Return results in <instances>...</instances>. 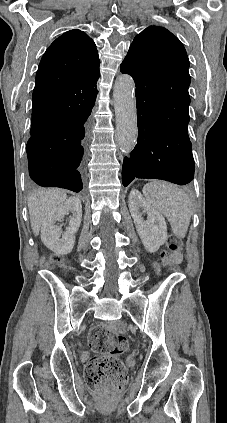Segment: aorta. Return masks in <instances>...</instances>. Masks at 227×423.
Wrapping results in <instances>:
<instances>
[{
  "label": "aorta",
  "mask_w": 227,
  "mask_h": 423,
  "mask_svg": "<svg viewBox=\"0 0 227 423\" xmlns=\"http://www.w3.org/2000/svg\"><path fill=\"white\" fill-rule=\"evenodd\" d=\"M135 83L131 76L122 75L114 86L117 144L124 153H130L136 145L138 127L136 116Z\"/></svg>",
  "instance_id": "762f6f07"
}]
</instances>
